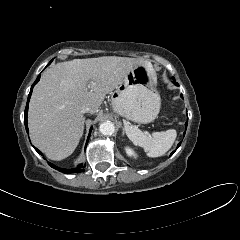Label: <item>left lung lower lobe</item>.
Segmentation results:
<instances>
[{
  "label": "left lung lower lobe",
  "instance_id": "1",
  "mask_svg": "<svg viewBox=\"0 0 240 240\" xmlns=\"http://www.w3.org/2000/svg\"><path fill=\"white\" fill-rule=\"evenodd\" d=\"M173 79H174V78H173ZM173 83L178 86V83H177V82L173 81ZM185 125H186V127H187V122H186ZM184 134H185V133H184ZM180 144H181V142L178 144L177 148L180 146ZM174 152H175V151H173V152L171 153V155H172Z\"/></svg>",
  "mask_w": 240,
  "mask_h": 240
}]
</instances>
